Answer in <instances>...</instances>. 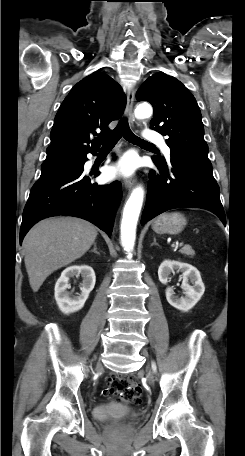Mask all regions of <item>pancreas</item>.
<instances>
[{
    "instance_id": "obj_1",
    "label": "pancreas",
    "mask_w": 245,
    "mask_h": 456,
    "mask_svg": "<svg viewBox=\"0 0 245 456\" xmlns=\"http://www.w3.org/2000/svg\"><path fill=\"white\" fill-rule=\"evenodd\" d=\"M180 253L187 255L189 257H193L195 255V251L192 249L191 246L186 245L183 248L180 249Z\"/></svg>"
}]
</instances>
